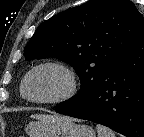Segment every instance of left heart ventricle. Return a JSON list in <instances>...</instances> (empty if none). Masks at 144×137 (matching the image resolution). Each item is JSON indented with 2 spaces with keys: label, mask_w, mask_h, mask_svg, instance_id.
<instances>
[{
  "label": "left heart ventricle",
  "mask_w": 144,
  "mask_h": 137,
  "mask_svg": "<svg viewBox=\"0 0 144 137\" xmlns=\"http://www.w3.org/2000/svg\"><path fill=\"white\" fill-rule=\"evenodd\" d=\"M67 86L66 78L54 69L36 72L28 81L26 94L33 98H53L60 95Z\"/></svg>",
  "instance_id": "b2bd125f"
}]
</instances>
